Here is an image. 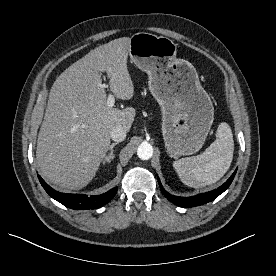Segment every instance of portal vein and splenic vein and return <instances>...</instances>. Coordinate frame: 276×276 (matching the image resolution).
Segmentation results:
<instances>
[{
	"label": "portal vein and splenic vein",
	"mask_w": 276,
	"mask_h": 276,
	"mask_svg": "<svg viewBox=\"0 0 276 276\" xmlns=\"http://www.w3.org/2000/svg\"><path fill=\"white\" fill-rule=\"evenodd\" d=\"M105 86V85H104ZM107 107L108 108H112L114 106V103H115V98L112 94H109L108 95V98H107Z\"/></svg>",
	"instance_id": "1"
}]
</instances>
